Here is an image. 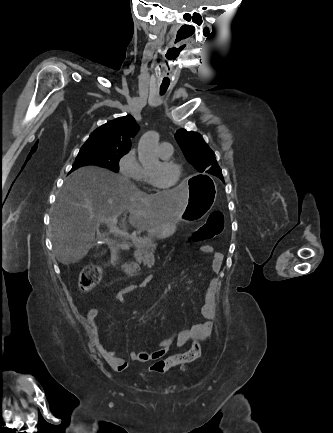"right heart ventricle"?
Instances as JSON below:
<instances>
[{
  "instance_id": "right-heart-ventricle-1",
  "label": "right heart ventricle",
  "mask_w": 333,
  "mask_h": 433,
  "mask_svg": "<svg viewBox=\"0 0 333 433\" xmlns=\"http://www.w3.org/2000/svg\"><path fill=\"white\" fill-rule=\"evenodd\" d=\"M163 158V157H162ZM143 176H142V180L143 181H145V182H148L149 181V179H148V174H147V169H145V168H143Z\"/></svg>"
}]
</instances>
